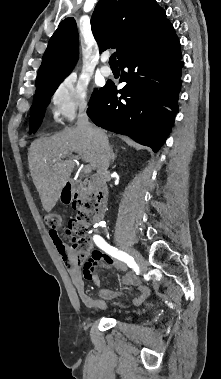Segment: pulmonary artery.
<instances>
[{"instance_id": "pulmonary-artery-1", "label": "pulmonary artery", "mask_w": 221, "mask_h": 379, "mask_svg": "<svg viewBox=\"0 0 221 379\" xmlns=\"http://www.w3.org/2000/svg\"><path fill=\"white\" fill-rule=\"evenodd\" d=\"M108 59L109 56L107 54H104L101 57L102 66L100 67V72L104 76H110L112 74L111 68L105 64L108 61Z\"/></svg>"}]
</instances>
